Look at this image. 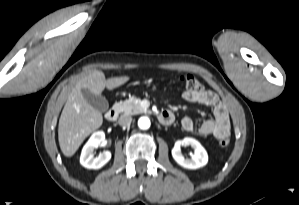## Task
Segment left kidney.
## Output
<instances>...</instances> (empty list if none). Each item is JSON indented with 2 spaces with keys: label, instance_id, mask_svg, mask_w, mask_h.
Returning a JSON list of instances; mask_svg holds the SVG:
<instances>
[{
  "label": "left kidney",
  "instance_id": "obj_1",
  "mask_svg": "<svg viewBox=\"0 0 299 205\" xmlns=\"http://www.w3.org/2000/svg\"><path fill=\"white\" fill-rule=\"evenodd\" d=\"M190 145L194 149L191 159H185L181 153V146ZM173 159L183 168L198 169L208 162V154L204 147L194 138L185 137L181 141H177L172 149Z\"/></svg>",
  "mask_w": 299,
  "mask_h": 205
}]
</instances>
